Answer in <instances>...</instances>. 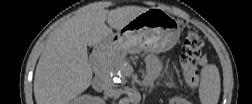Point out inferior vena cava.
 <instances>
[{
  "label": "inferior vena cava",
  "mask_w": 252,
  "mask_h": 104,
  "mask_svg": "<svg viewBox=\"0 0 252 104\" xmlns=\"http://www.w3.org/2000/svg\"><path fill=\"white\" fill-rule=\"evenodd\" d=\"M105 93L108 97L116 98L120 95V90L119 89H108V90H106Z\"/></svg>",
  "instance_id": "602c4592"
}]
</instances>
